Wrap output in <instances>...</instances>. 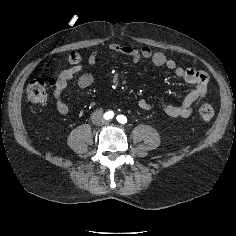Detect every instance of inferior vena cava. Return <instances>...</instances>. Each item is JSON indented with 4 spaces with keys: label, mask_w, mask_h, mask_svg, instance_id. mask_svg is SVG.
<instances>
[{
    "label": "inferior vena cava",
    "mask_w": 236,
    "mask_h": 236,
    "mask_svg": "<svg viewBox=\"0 0 236 236\" xmlns=\"http://www.w3.org/2000/svg\"><path fill=\"white\" fill-rule=\"evenodd\" d=\"M91 120L94 124H99L103 121L102 119V112L101 111H96L92 114Z\"/></svg>",
    "instance_id": "obj_1"
}]
</instances>
